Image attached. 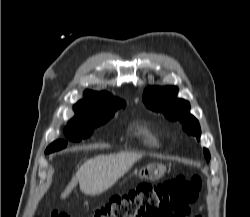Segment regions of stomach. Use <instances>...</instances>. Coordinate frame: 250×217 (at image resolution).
<instances>
[{
    "mask_svg": "<svg viewBox=\"0 0 250 217\" xmlns=\"http://www.w3.org/2000/svg\"><path fill=\"white\" fill-rule=\"evenodd\" d=\"M166 172L163 164L153 163L140 169L138 176L144 180L155 181L160 179Z\"/></svg>",
    "mask_w": 250,
    "mask_h": 217,
    "instance_id": "obj_1",
    "label": "stomach"
}]
</instances>
